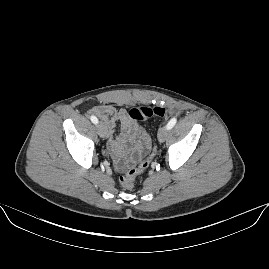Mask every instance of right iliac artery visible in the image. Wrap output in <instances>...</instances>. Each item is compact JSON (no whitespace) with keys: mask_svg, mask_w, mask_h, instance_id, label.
<instances>
[{"mask_svg":"<svg viewBox=\"0 0 269 269\" xmlns=\"http://www.w3.org/2000/svg\"><path fill=\"white\" fill-rule=\"evenodd\" d=\"M91 121L94 123V124H97L98 123V119L95 117V116H91Z\"/></svg>","mask_w":269,"mask_h":269,"instance_id":"82829eb1","label":"right iliac artery"}]
</instances>
